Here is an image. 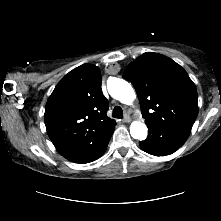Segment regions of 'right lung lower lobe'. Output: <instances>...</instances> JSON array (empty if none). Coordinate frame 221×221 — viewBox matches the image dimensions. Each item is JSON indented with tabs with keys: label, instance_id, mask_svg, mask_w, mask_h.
Here are the masks:
<instances>
[{
	"label": "right lung lower lobe",
	"instance_id": "right-lung-lower-lobe-1",
	"mask_svg": "<svg viewBox=\"0 0 221 221\" xmlns=\"http://www.w3.org/2000/svg\"><path fill=\"white\" fill-rule=\"evenodd\" d=\"M112 134L113 132L101 140L92 151L80 158L76 163H89L101 157L107 148Z\"/></svg>",
	"mask_w": 221,
	"mask_h": 221
}]
</instances>
